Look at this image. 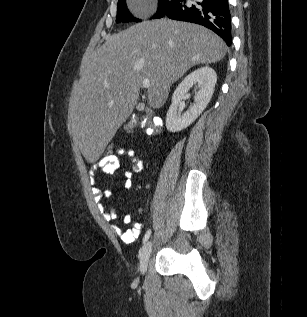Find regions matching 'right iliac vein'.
I'll return each instance as SVG.
<instances>
[{"mask_svg":"<svg viewBox=\"0 0 307 317\" xmlns=\"http://www.w3.org/2000/svg\"><path fill=\"white\" fill-rule=\"evenodd\" d=\"M152 253V243L147 242L140 250L139 260H140V272L144 274L147 270V266Z\"/></svg>","mask_w":307,"mask_h":317,"instance_id":"1","label":"right iliac vein"}]
</instances>
